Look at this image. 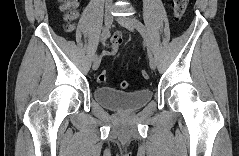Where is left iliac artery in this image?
Instances as JSON below:
<instances>
[{"mask_svg": "<svg viewBox=\"0 0 239 156\" xmlns=\"http://www.w3.org/2000/svg\"><path fill=\"white\" fill-rule=\"evenodd\" d=\"M134 22H135V26L138 29V31L141 33V35L143 36L146 45H147V50H148V56L149 58L152 57V48H151V44L145 29V26L142 24V22H140L138 19L134 18Z\"/></svg>", "mask_w": 239, "mask_h": 156, "instance_id": "left-iliac-artery-1", "label": "left iliac artery"}]
</instances>
